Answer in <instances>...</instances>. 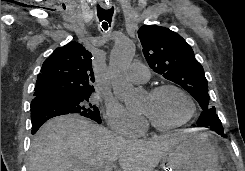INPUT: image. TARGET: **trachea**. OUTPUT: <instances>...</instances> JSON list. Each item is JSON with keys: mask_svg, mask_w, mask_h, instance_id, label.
Masks as SVG:
<instances>
[{"mask_svg": "<svg viewBox=\"0 0 245 171\" xmlns=\"http://www.w3.org/2000/svg\"><path fill=\"white\" fill-rule=\"evenodd\" d=\"M114 13V9L110 8V9H105L102 8L101 6H97V16L99 18V21L101 23V27L103 28V30H108L111 21H112V16Z\"/></svg>", "mask_w": 245, "mask_h": 171, "instance_id": "1", "label": "trachea"}]
</instances>
